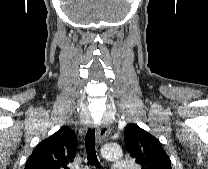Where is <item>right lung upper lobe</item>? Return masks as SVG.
<instances>
[{"label":"right lung upper lobe","instance_id":"cb5924a9","mask_svg":"<svg viewBox=\"0 0 208 169\" xmlns=\"http://www.w3.org/2000/svg\"><path fill=\"white\" fill-rule=\"evenodd\" d=\"M77 138L70 127L63 126L37 145L29 156L25 169H69L74 159Z\"/></svg>","mask_w":208,"mask_h":169}]
</instances>
